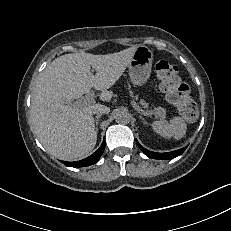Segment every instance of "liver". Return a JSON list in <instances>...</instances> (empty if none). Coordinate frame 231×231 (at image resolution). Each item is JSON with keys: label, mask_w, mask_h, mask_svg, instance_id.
<instances>
[{"label": "liver", "mask_w": 231, "mask_h": 231, "mask_svg": "<svg viewBox=\"0 0 231 231\" xmlns=\"http://www.w3.org/2000/svg\"><path fill=\"white\" fill-rule=\"evenodd\" d=\"M136 49L133 46L106 55L65 54L41 72L32 95L31 125L49 154L72 161L94 149L97 133L93 111L101 104L74 106L73 101L92 87L102 91L101 100L110 101L113 94L108 89L122 76Z\"/></svg>", "instance_id": "obj_1"}]
</instances>
